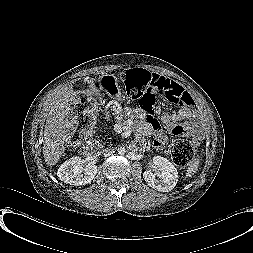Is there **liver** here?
Segmentation results:
<instances>
[{
	"label": "liver",
	"instance_id": "liver-1",
	"mask_svg": "<svg viewBox=\"0 0 253 253\" xmlns=\"http://www.w3.org/2000/svg\"><path fill=\"white\" fill-rule=\"evenodd\" d=\"M72 94V85L64 86L57 91L52 100L44 129L43 143L44 160L48 166L55 165L65 151V143L71 127L68 114Z\"/></svg>",
	"mask_w": 253,
	"mask_h": 253
}]
</instances>
